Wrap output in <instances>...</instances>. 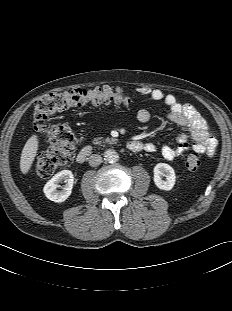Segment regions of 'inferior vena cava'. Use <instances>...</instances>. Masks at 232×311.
Wrapping results in <instances>:
<instances>
[{
	"mask_svg": "<svg viewBox=\"0 0 232 311\" xmlns=\"http://www.w3.org/2000/svg\"><path fill=\"white\" fill-rule=\"evenodd\" d=\"M102 162V157L98 154H93L89 157V165L92 167L98 166Z\"/></svg>",
	"mask_w": 232,
	"mask_h": 311,
	"instance_id": "1",
	"label": "inferior vena cava"
}]
</instances>
